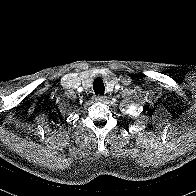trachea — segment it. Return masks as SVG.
I'll return each mask as SVG.
<instances>
[{"instance_id": "obj_1", "label": "trachea", "mask_w": 196, "mask_h": 196, "mask_svg": "<svg viewBox=\"0 0 196 196\" xmlns=\"http://www.w3.org/2000/svg\"><path fill=\"white\" fill-rule=\"evenodd\" d=\"M93 89L96 94L102 95L105 91V86L101 78H96L93 83Z\"/></svg>"}]
</instances>
